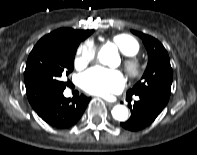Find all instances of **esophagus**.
Here are the masks:
<instances>
[{
  "mask_svg": "<svg viewBox=\"0 0 197 155\" xmlns=\"http://www.w3.org/2000/svg\"><path fill=\"white\" fill-rule=\"evenodd\" d=\"M106 104H107L108 106H113L115 103L110 102V101H106Z\"/></svg>",
  "mask_w": 197,
  "mask_h": 155,
  "instance_id": "obj_1",
  "label": "esophagus"
}]
</instances>
